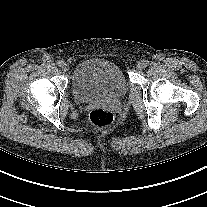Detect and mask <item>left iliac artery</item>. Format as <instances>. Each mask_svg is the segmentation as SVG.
Wrapping results in <instances>:
<instances>
[{
	"label": "left iliac artery",
	"instance_id": "44dca946",
	"mask_svg": "<svg viewBox=\"0 0 207 207\" xmlns=\"http://www.w3.org/2000/svg\"><path fill=\"white\" fill-rule=\"evenodd\" d=\"M143 63H144V65H145V67L148 66V61L144 60Z\"/></svg>",
	"mask_w": 207,
	"mask_h": 207
}]
</instances>
